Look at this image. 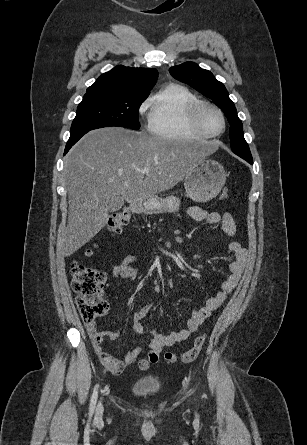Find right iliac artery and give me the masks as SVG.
I'll use <instances>...</instances> for the list:
<instances>
[{"label": "right iliac artery", "instance_id": "obj_1", "mask_svg": "<svg viewBox=\"0 0 307 445\" xmlns=\"http://www.w3.org/2000/svg\"><path fill=\"white\" fill-rule=\"evenodd\" d=\"M97 396H98V386L95 387V390H94L92 398H91V403H90V408H89L90 416H92V414L94 412V408H95L96 401H97Z\"/></svg>", "mask_w": 307, "mask_h": 445}]
</instances>
